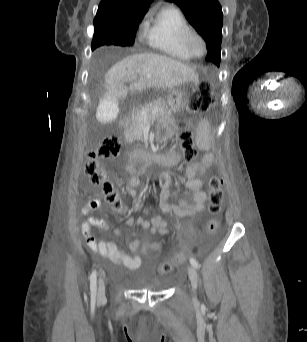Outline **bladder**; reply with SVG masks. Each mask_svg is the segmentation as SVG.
Segmentation results:
<instances>
[{"label":"bladder","mask_w":307,"mask_h":342,"mask_svg":"<svg viewBox=\"0 0 307 342\" xmlns=\"http://www.w3.org/2000/svg\"><path fill=\"white\" fill-rule=\"evenodd\" d=\"M134 286L149 291H163L170 286V282L157 277L153 273H141L136 278Z\"/></svg>","instance_id":"obj_1"}]
</instances>
